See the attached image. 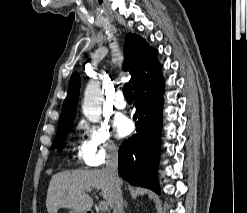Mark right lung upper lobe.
<instances>
[{
  "label": "right lung upper lobe",
  "mask_w": 247,
  "mask_h": 213,
  "mask_svg": "<svg viewBox=\"0 0 247 213\" xmlns=\"http://www.w3.org/2000/svg\"><path fill=\"white\" fill-rule=\"evenodd\" d=\"M123 69L131 74L133 89L161 71L157 51L140 36L129 33L124 43ZM80 79L77 73L71 76L68 95L64 100L58 127L72 125L79 97Z\"/></svg>",
  "instance_id": "right-lung-upper-lobe-1"
}]
</instances>
